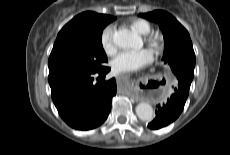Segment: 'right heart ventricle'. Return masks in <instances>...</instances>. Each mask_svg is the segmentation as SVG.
I'll return each mask as SVG.
<instances>
[{
	"label": "right heart ventricle",
	"instance_id": "right-heart-ventricle-1",
	"mask_svg": "<svg viewBox=\"0 0 230 155\" xmlns=\"http://www.w3.org/2000/svg\"><path fill=\"white\" fill-rule=\"evenodd\" d=\"M130 27L138 34L146 35L151 31V24L144 19H133L130 21Z\"/></svg>",
	"mask_w": 230,
	"mask_h": 155
}]
</instances>
